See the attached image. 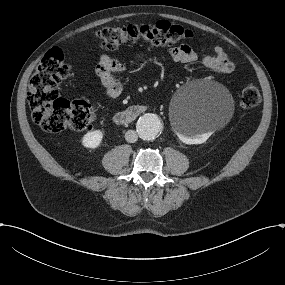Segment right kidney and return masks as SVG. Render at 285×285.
<instances>
[{
  "instance_id": "obj_1",
  "label": "right kidney",
  "mask_w": 285,
  "mask_h": 285,
  "mask_svg": "<svg viewBox=\"0 0 285 285\" xmlns=\"http://www.w3.org/2000/svg\"><path fill=\"white\" fill-rule=\"evenodd\" d=\"M103 133L100 130L87 132L82 139V145L87 148H96L100 145Z\"/></svg>"
}]
</instances>
